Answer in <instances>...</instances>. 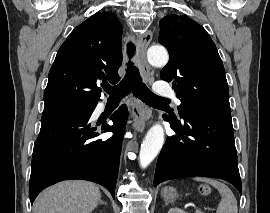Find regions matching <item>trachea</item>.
I'll use <instances>...</instances> for the list:
<instances>
[{
  "instance_id": "trachea-1",
  "label": "trachea",
  "mask_w": 270,
  "mask_h": 213,
  "mask_svg": "<svg viewBox=\"0 0 270 213\" xmlns=\"http://www.w3.org/2000/svg\"><path fill=\"white\" fill-rule=\"evenodd\" d=\"M135 50V45L129 42L127 44V54L130 59L135 55ZM104 89L109 94V99L120 100L132 91L135 96L146 104L169 101L166 98L155 95L148 89L142 82L138 68L134 66L131 60L128 62L127 72L123 80L115 86H107Z\"/></svg>"
}]
</instances>
